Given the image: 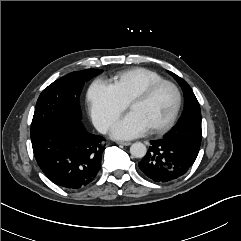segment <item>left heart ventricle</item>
<instances>
[{
    "instance_id": "b2bd125f",
    "label": "left heart ventricle",
    "mask_w": 241,
    "mask_h": 241,
    "mask_svg": "<svg viewBox=\"0 0 241 241\" xmlns=\"http://www.w3.org/2000/svg\"><path fill=\"white\" fill-rule=\"evenodd\" d=\"M176 104V95L170 86H162L146 101L136 102L131 111L138 113L150 126L165 124L171 117Z\"/></svg>"
}]
</instances>
